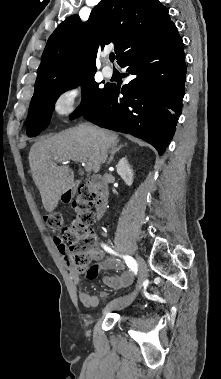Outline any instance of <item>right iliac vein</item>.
I'll list each match as a JSON object with an SVG mask.
<instances>
[{
  "instance_id": "right-iliac-vein-1",
  "label": "right iliac vein",
  "mask_w": 221,
  "mask_h": 379,
  "mask_svg": "<svg viewBox=\"0 0 221 379\" xmlns=\"http://www.w3.org/2000/svg\"><path fill=\"white\" fill-rule=\"evenodd\" d=\"M138 266H139V285L137 286L136 290L129 296H125L123 298L115 299L111 301L105 308V311H109L114 308H121L125 307L133 302V300L136 298L138 292L141 289V284L147 277V268L144 260L141 257L137 258Z\"/></svg>"
}]
</instances>
